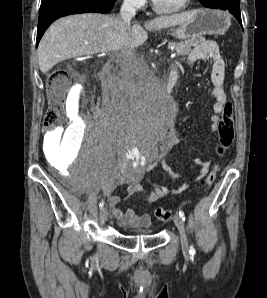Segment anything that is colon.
<instances>
[{
  "label": "colon",
  "mask_w": 267,
  "mask_h": 298,
  "mask_svg": "<svg viewBox=\"0 0 267 298\" xmlns=\"http://www.w3.org/2000/svg\"><path fill=\"white\" fill-rule=\"evenodd\" d=\"M70 74L65 69L52 72L47 79V89L49 96V106L44 119L47 131L53 132L58 128L67 125L65 115V94L69 88ZM218 135V152L223 154L234 140V119L231 106L229 105L221 116ZM217 167H215L205 178L203 185L205 188L212 186L216 179ZM156 217L163 222L171 219V212L164 208L155 210Z\"/></svg>",
  "instance_id": "colon-1"
}]
</instances>
